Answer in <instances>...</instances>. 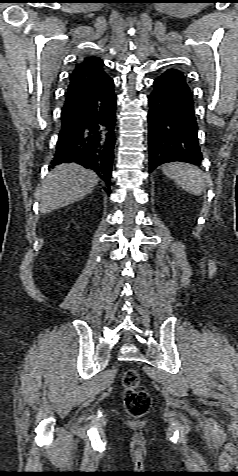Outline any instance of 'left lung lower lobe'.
<instances>
[{"instance_id": "obj_1", "label": "left lung lower lobe", "mask_w": 238, "mask_h": 476, "mask_svg": "<svg viewBox=\"0 0 238 476\" xmlns=\"http://www.w3.org/2000/svg\"><path fill=\"white\" fill-rule=\"evenodd\" d=\"M149 169L174 161L199 164L202 153L192 92L182 74L168 69L148 97Z\"/></svg>"}]
</instances>
